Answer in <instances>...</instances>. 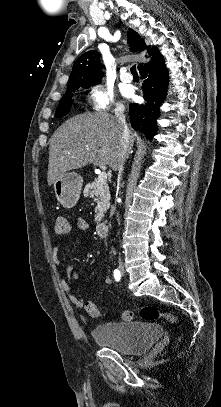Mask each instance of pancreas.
Here are the masks:
<instances>
[{
  "mask_svg": "<svg viewBox=\"0 0 221 407\" xmlns=\"http://www.w3.org/2000/svg\"><path fill=\"white\" fill-rule=\"evenodd\" d=\"M83 194L85 197L93 198L96 202L95 222H100L110 206V192L108 185L106 183L101 184L95 179L85 186Z\"/></svg>",
  "mask_w": 221,
  "mask_h": 407,
  "instance_id": "1",
  "label": "pancreas"
}]
</instances>
